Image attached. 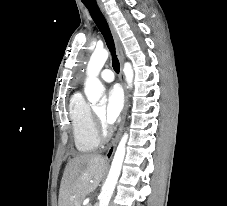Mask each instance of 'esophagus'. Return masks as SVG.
I'll return each mask as SVG.
<instances>
[{"label": "esophagus", "instance_id": "obj_1", "mask_svg": "<svg viewBox=\"0 0 227 206\" xmlns=\"http://www.w3.org/2000/svg\"><path fill=\"white\" fill-rule=\"evenodd\" d=\"M98 6H99L102 14L104 15V17H105V19H106V21L109 25V28L111 30V33H112V36H113V39H114V42H115L116 51H117L118 59H119V62H120V79H121V83H122L124 93H125V104H124V108H123V111H122L121 123H120L119 129L117 131V134H116L115 138L113 139L112 143L110 144V146H109V148L106 152V155H105V159L110 160L112 158L114 152H115V148H116L118 140L121 136L123 126H124V122H125V115H126V110H127V90H126V85H125V82H124L123 71H122L123 70V61H124V52H123L122 44L120 42L117 31H116L109 15L107 14L103 3L100 0H98Z\"/></svg>", "mask_w": 227, "mask_h": 206}]
</instances>
